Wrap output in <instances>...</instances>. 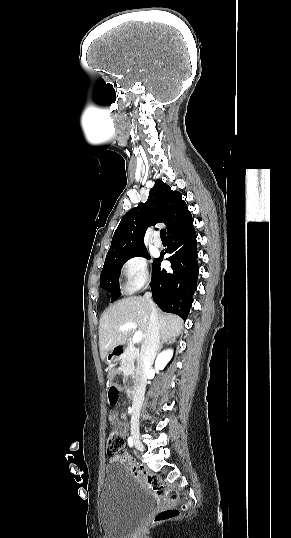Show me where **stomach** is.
I'll return each mask as SVG.
<instances>
[{
	"instance_id": "stomach-1",
	"label": "stomach",
	"mask_w": 291,
	"mask_h": 538,
	"mask_svg": "<svg viewBox=\"0 0 291 538\" xmlns=\"http://www.w3.org/2000/svg\"><path fill=\"white\" fill-rule=\"evenodd\" d=\"M116 361H118V356L115 353H113V350L109 351L105 357V362L108 364H112V363H115Z\"/></svg>"
}]
</instances>
